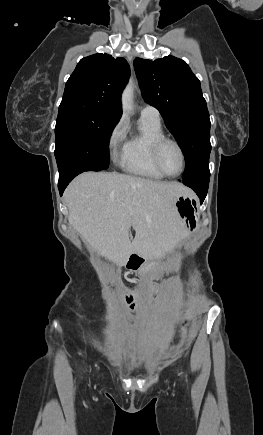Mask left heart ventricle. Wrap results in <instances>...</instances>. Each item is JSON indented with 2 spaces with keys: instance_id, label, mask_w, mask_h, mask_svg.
<instances>
[{
  "instance_id": "1",
  "label": "left heart ventricle",
  "mask_w": 263,
  "mask_h": 435,
  "mask_svg": "<svg viewBox=\"0 0 263 435\" xmlns=\"http://www.w3.org/2000/svg\"><path fill=\"white\" fill-rule=\"evenodd\" d=\"M160 161L164 170L169 174H177L181 170V154L174 144L167 143L163 146Z\"/></svg>"
}]
</instances>
